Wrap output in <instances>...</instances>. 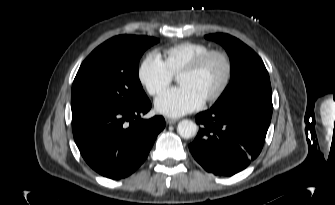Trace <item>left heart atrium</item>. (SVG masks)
Segmentation results:
<instances>
[{
    "label": "left heart atrium",
    "mask_w": 335,
    "mask_h": 205,
    "mask_svg": "<svg viewBox=\"0 0 335 205\" xmlns=\"http://www.w3.org/2000/svg\"><path fill=\"white\" fill-rule=\"evenodd\" d=\"M204 99L187 86H179L163 92L155 100L157 112L170 116L179 117L199 109Z\"/></svg>",
    "instance_id": "39dd6f15"
}]
</instances>
